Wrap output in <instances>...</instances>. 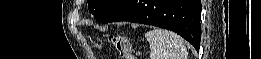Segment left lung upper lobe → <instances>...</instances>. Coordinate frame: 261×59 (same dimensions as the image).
<instances>
[{
	"mask_svg": "<svg viewBox=\"0 0 261 59\" xmlns=\"http://www.w3.org/2000/svg\"><path fill=\"white\" fill-rule=\"evenodd\" d=\"M120 0H88V9L98 20Z\"/></svg>",
	"mask_w": 261,
	"mask_h": 59,
	"instance_id": "1",
	"label": "left lung upper lobe"
}]
</instances>
